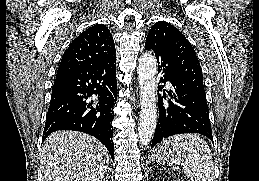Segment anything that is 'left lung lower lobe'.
<instances>
[{"label":"left lung lower lobe","mask_w":259,"mask_h":181,"mask_svg":"<svg viewBox=\"0 0 259 181\" xmlns=\"http://www.w3.org/2000/svg\"><path fill=\"white\" fill-rule=\"evenodd\" d=\"M156 58L158 72L164 73L160 78V83L167 81L171 83L172 88L167 92L172 99L164 104L163 98L161 96L158 98L159 119L151 148L163 138L182 133H200L213 141L206 96L200 95L177 76L171 60L165 53H156ZM160 90L163 91L165 97L163 86H158V91Z\"/></svg>","instance_id":"1"}]
</instances>
